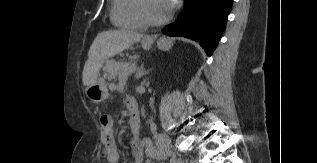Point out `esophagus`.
Returning a JSON list of instances; mask_svg holds the SVG:
<instances>
[{"instance_id":"1","label":"esophagus","mask_w":317,"mask_h":163,"mask_svg":"<svg viewBox=\"0 0 317 163\" xmlns=\"http://www.w3.org/2000/svg\"><path fill=\"white\" fill-rule=\"evenodd\" d=\"M145 39L148 40V41L152 40V38H150V37H146Z\"/></svg>"}]
</instances>
